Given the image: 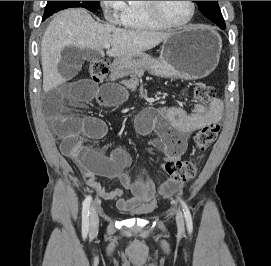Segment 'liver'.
<instances>
[{
	"label": "liver",
	"mask_w": 271,
	"mask_h": 266,
	"mask_svg": "<svg viewBox=\"0 0 271 266\" xmlns=\"http://www.w3.org/2000/svg\"><path fill=\"white\" fill-rule=\"evenodd\" d=\"M170 35L167 32L130 30L100 24L85 9L64 10L50 22L42 38L43 90L49 92L65 82L58 71V64L62 50L67 46L102 53L103 45L110 44L107 55L123 57L150 50Z\"/></svg>",
	"instance_id": "obj_1"
}]
</instances>
